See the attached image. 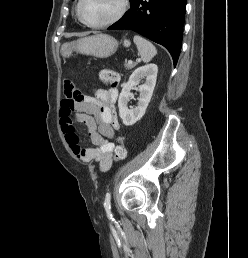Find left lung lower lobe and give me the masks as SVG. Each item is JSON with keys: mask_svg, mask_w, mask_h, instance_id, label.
Wrapping results in <instances>:
<instances>
[{"mask_svg": "<svg viewBox=\"0 0 248 258\" xmlns=\"http://www.w3.org/2000/svg\"><path fill=\"white\" fill-rule=\"evenodd\" d=\"M131 8L108 30L129 29L161 44L176 65L182 44L186 0H130Z\"/></svg>", "mask_w": 248, "mask_h": 258, "instance_id": "obj_1", "label": "left lung lower lobe"}]
</instances>
